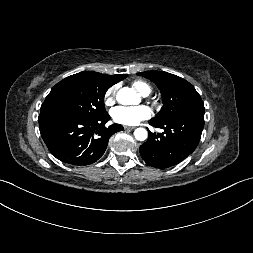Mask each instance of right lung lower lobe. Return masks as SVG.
<instances>
[{
  "instance_id": "1",
  "label": "right lung lower lobe",
  "mask_w": 253,
  "mask_h": 253,
  "mask_svg": "<svg viewBox=\"0 0 253 253\" xmlns=\"http://www.w3.org/2000/svg\"><path fill=\"white\" fill-rule=\"evenodd\" d=\"M110 116L91 118L69 114L39 115L41 136L57 159L72 165L85 166L104 154L109 138L123 126L105 124Z\"/></svg>"
}]
</instances>
